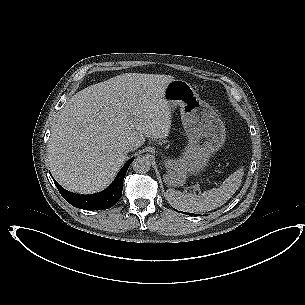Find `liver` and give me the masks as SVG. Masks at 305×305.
I'll return each mask as SVG.
<instances>
[{
	"label": "liver",
	"instance_id": "liver-1",
	"mask_svg": "<svg viewBox=\"0 0 305 305\" xmlns=\"http://www.w3.org/2000/svg\"><path fill=\"white\" fill-rule=\"evenodd\" d=\"M157 78L153 88L117 76L71 97L52 128L48 144L50 170L62 187L81 194L99 192L112 182L125 161V145L137 149L145 137L168 136L171 115L159 107L155 94L163 96L174 78Z\"/></svg>",
	"mask_w": 305,
	"mask_h": 305
}]
</instances>
